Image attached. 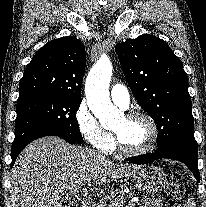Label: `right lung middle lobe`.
Returning a JSON list of instances; mask_svg holds the SVG:
<instances>
[{"label":"right lung middle lobe","mask_w":206,"mask_h":207,"mask_svg":"<svg viewBox=\"0 0 206 207\" xmlns=\"http://www.w3.org/2000/svg\"><path fill=\"white\" fill-rule=\"evenodd\" d=\"M81 99L38 95L17 100L12 149L36 136L58 134L76 142L83 138L76 119Z\"/></svg>","instance_id":"right-lung-middle-lobe-1"}]
</instances>
